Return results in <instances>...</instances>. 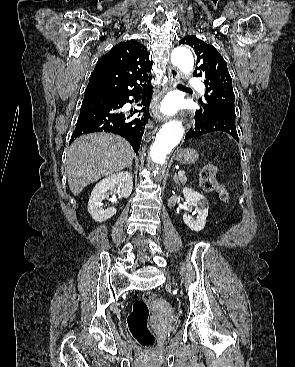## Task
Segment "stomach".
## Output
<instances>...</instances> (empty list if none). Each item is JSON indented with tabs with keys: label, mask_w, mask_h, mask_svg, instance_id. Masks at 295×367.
Masks as SVG:
<instances>
[{
	"label": "stomach",
	"mask_w": 295,
	"mask_h": 367,
	"mask_svg": "<svg viewBox=\"0 0 295 367\" xmlns=\"http://www.w3.org/2000/svg\"><path fill=\"white\" fill-rule=\"evenodd\" d=\"M198 158L197 151L191 148L179 150L176 154V160L184 165L195 163Z\"/></svg>",
	"instance_id": "stomach-1"
}]
</instances>
